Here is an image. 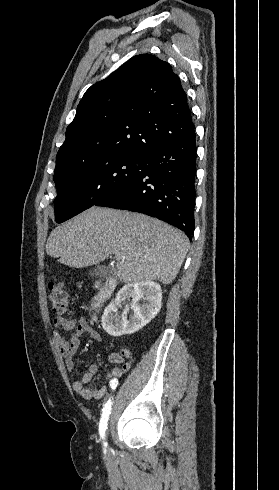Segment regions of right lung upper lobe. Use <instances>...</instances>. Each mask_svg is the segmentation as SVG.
Here are the masks:
<instances>
[{"label":"right lung upper lobe","instance_id":"right-lung-upper-lobe-1","mask_svg":"<svg viewBox=\"0 0 279 490\" xmlns=\"http://www.w3.org/2000/svg\"><path fill=\"white\" fill-rule=\"evenodd\" d=\"M195 132L179 77L150 54L132 57L84 94L54 177L108 155L147 158Z\"/></svg>","mask_w":279,"mask_h":490}]
</instances>
